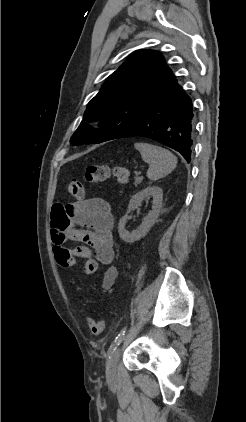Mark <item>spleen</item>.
Returning <instances> with one entry per match:
<instances>
[{"label": "spleen", "instance_id": "1", "mask_svg": "<svg viewBox=\"0 0 246 422\" xmlns=\"http://www.w3.org/2000/svg\"><path fill=\"white\" fill-rule=\"evenodd\" d=\"M134 147L149 164L147 177L152 181L168 175L177 166L176 156L165 148L148 143H135Z\"/></svg>", "mask_w": 246, "mask_h": 422}]
</instances>
